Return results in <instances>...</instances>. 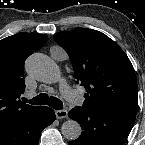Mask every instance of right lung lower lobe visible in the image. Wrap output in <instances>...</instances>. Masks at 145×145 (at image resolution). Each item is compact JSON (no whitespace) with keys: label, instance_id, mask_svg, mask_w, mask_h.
Here are the masks:
<instances>
[{"label":"right lung lower lobe","instance_id":"1","mask_svg":"<svg viewBox=\"0 0 145 145\" xmlns=\"http://www.w3.org/2000/svg\"><path fill=\"white\" fill-rule=\"evenodd\" d=\"M55 118L52 109L40 107L0 128V145H38L40 132L52 124Z\"/></svg>","mask_w":145,"mask_h":145}]
</instances>
